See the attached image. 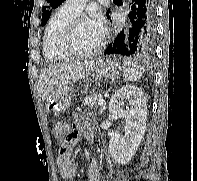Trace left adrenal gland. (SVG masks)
<instances>
[{"mask_svg":"<svg viewBox=\"0 0 197 181\" xmlns=\"http://www.w3.org/2000/svg\"><path fill=\"white\" fill-rule=\"evenodd\" d=\"M105 105L103 106V108L99 111V114H101L104 110H105Z\"/></svg>","mask_w":197,"mask_h":181,"instance_id":"left-adrenal-gland-1","label":"left adrenal gland"}]
</instances>
